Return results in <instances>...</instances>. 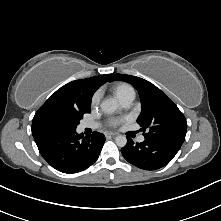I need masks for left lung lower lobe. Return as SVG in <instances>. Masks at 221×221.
I'll list each match as a JSON object with an SVG mask.
<instances>
[{
    "label": "left lung lower lobe",
    "mask_w": 221,
    "mask_h": 221,
    "mask_svg": "<svg viewBox=\"0 0 221 221\" xmlns=\"http://www.w3.org/2000/svg\"><path fill=\"white\" fill-rule=\"evenodd\" d=\"M182 144L183 142L177 140L151 138H145L141 143H134L127 137V144L121 152L134 166L144 170H155L168 164Z\"/></svg>",
    "instance_id": "0a47b994"
}]
</instances>
